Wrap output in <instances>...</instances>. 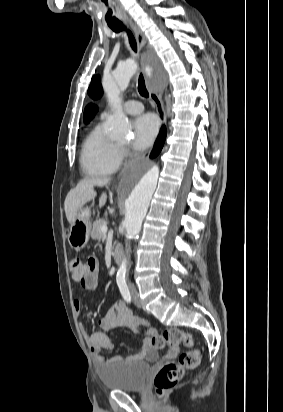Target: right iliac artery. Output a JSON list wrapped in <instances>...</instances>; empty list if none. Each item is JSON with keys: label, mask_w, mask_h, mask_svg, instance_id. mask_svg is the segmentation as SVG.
I'll return each mask as SVG.
<instances>
[{"label": "right iliac artery", "mask_w": 283, "mask_h": 412, "mask_svg": "<svg viewBox=\"0 0 283 412\" xmlns=\"http://www.w3.org/2000/svg\"><path fill=\"white\" fill-rule=\"evenodd\" d=\"M117 284L119 286L120 292L123 296V298L130 303L131 302V294L129 292L128 286L124 280L123 276H117Z\"/></svg>", "instance_id": "obj_1"}]
</instances>
